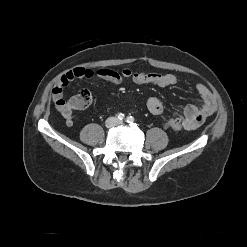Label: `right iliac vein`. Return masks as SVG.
<instances>
[{
	"instance_id": "obj_1",
	"label": "right iliac vein",
	"mask_w": 247,
	"mask_h": 247,
	"mask_svg": "<svg viewBox=\"0 0 247 247\" xmlns=\"http://www.w3.org/2000/svg\"><path fill=\"white\" fill-rule=\"evenodd\" d=\"M116 124V120L114 118H109L106 121V127L111 128Z\"/></svg>"
}]
</instances>
